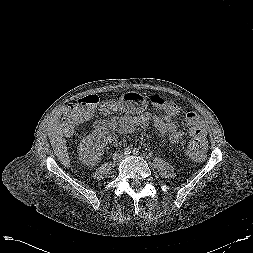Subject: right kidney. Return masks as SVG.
<instances>
[{"label": "right kidney", "instance_id": "obj_1", "mask_svg": "<svg viewBox=\"0 0 253 253\" xmlns=\"http://www.w3.org/2000/svg\"><path fill=\"white\" fill-rule=\"evenodd\" d=\"M107 138L100 130H94L84 137L79 145V159L87 166H95L102 158Z\"/></svg>", "mask_w": 253, "mask_h": 253}]
</instances>
